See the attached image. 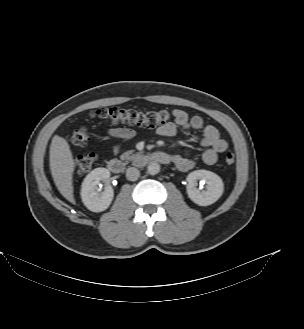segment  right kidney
I'll return each mask as SVG.
<instances>
[{
	"mask_svg": "<svg viewBox=\"0 0 304 329\" xmlns=\"http://www.w3.org/2000/svg\"><path fill=\"white\" fill-rule=\"evenodd\" d=\"M109 177V170L103 167H99L92 170L82 182V202L90 211L101 212L106 210L111 204L114 197V191L108 184ZM100 182L106 183L103 192H97V185H99Z\"/></svg>",
	"mask_w": 304,
	"mask_h": 329,
	"instance_id": "ca27d5eb",
	"label": "right kidney"
}]
</instances>
